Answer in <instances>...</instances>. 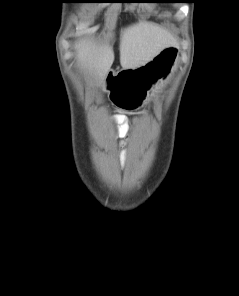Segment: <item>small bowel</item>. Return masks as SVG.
Segmentation results:
<instances>
[{
    "mask_svg": "<svg viewBox=\"0 0 239 296\" xmlns=\"http://www.w3.org/2000/svg\"><path fill=\"white\" fill-rule=\"evenodd\" d=\"M115 120L119 123H124L125 117L123 115H116Z\"/></svg>",
    "mask_w": 239,
    "mask_h": 296,
    "instance_id": "obj_1",
    "label": "small bowel"
}]
</instances>
